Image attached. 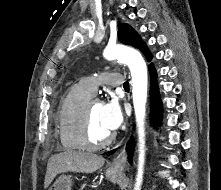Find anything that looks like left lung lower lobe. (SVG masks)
I'll return each mask as SVG.
<instances>
[{
    "mask_svg": "<svg viewBox=\"0 0 221 190\" xmlns=\"http://www.w3.org/2000/svg\"><path fill=\"white\" fill-rule=\"evenodd\" d=\"M149 72L151 77V88H150V118L153 126L157 128L161 124L162 119V102L160 99L159 94V88L156 82L157 73L154 68L153 64H150L149 66ZM127 152H128V158L129 162H132V150H133V143L132 138L127 143ZM115 150H112L111 152H108L107 154L110 155L114 153Z\"/></svg>",
    "mask_w": 221,
    "mask_h": 190,
    "instance_id": "0a47b994",
    "label": "left lung lower lobe"
}]
</instances>
